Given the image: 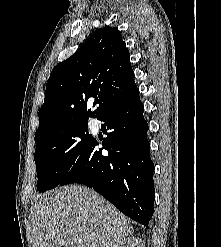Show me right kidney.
Here are the masks:
<instances>
[{"label":"right kidney","mask_w":221,"mask_h":247,"mask_svg":"<svg viewBox=\"0 0 221 247\" xmlns=\"http://www.w3.org/2000/svg\"><path fill=\"white\" fill-rule=\"evenodd\" d=\"M112 247H145V243L140 238L128 237L119 240Z\"/></svg>","instance_id":"right-kidney-1"}]
</instances>
